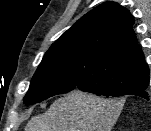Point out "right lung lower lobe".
<instances>
[{
    "mask_svg": "<svg viewBox=\"0 0 151 131\" xmlns=\"http://www.w3.org/2000/svg\"><path fill=\"white\" fill-rule=\"evenodd\" d=\"M75 82H76V88L85 92L97 94L99 96L102 95L106 97L108 96L119 97L123 95H135V96L142 97L146 100H150V96H151L150 93L147 91L148 84L137 87L127 93H117L113 91L112 89H104L101 86H98V83L96 84L92 80V78L89 79V77L80 76L79 78L76 79Z\"/></svg>",
    "mask_w": 151,
    "mask_h": 131,
    "instance_id": "right-lung-lower-lobe-1",
    "label": "right lung lower lobe"
}]
</instances>
